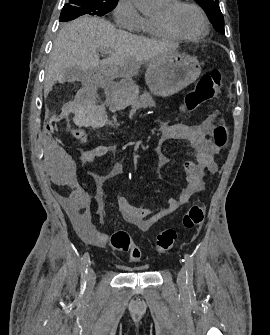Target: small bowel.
Segmentation results:
<instances>
[{"instance_id":"obj_1","label":"small bowel","mask_w":270,"mask_h":335,"mask_svg":"<svg viewBox=\"0 0 270 335\" xmlns=\"http://www.w3.org/2000/svg\"><path fill=\"white\" fill-rule=\"evenodd\" d=\"M211 118L205 119L198 125L188 126L184 124L162 123L160 125V141L165 142L172 139H185L190 142L196 151L197 162L187 160L183 167L186 173V186L178 197H171L164 207L159 209L140 208L132 205L124 195H118L116 200L123 219L136 226L141 232L149 231L152 226L163 218L176 212L181 206L189 202L190 198L204 188L205 177L218 172V165L214 158L215 147L207 137ZM49 134H59V127H49ZM54 135H45L44 144L47 151L46 158H41V165H47L44 178H67L63 185L72 188L68 196L63 197V203L70 220L81 237L94 245L104 244L108 235L95 228L93 225L92 205L97 204L96 216L102 220L105 214L106 194L105 184L120 176L124 171V165L117 160L105 173L91 171L95 183L94 194L91 195L80 185L75 178H80L77 171V158H68L65 147L55 144ZM111 148L98 145L83 151L79 157L82 164H89L97 159L107 156ZM158 166L162 167L168 163V158L157 149Z\"/></svg>"}]
</instances>
